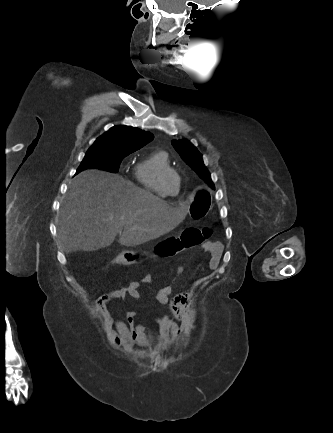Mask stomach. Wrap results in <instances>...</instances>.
I'll return each mask as SVG.
<instances>
[{
	"label": "stomach",
	"instance_id": "stomach-1",
	"mask_svg": "<svg viewBox=\"0 0 333 433\" xmlns=\"http://www.w3.org/2000/svg\"><path fill=\"white\" fill-rule=\"evenodd\" d=\"M211 195L210 190L203 187L197 188L191 206V218L195 220L201 219L210 212L212 207Z\"/></svg>",
	"mask_w": 333,
	"mask_h": 433
}]
</instances>
